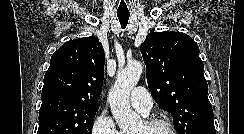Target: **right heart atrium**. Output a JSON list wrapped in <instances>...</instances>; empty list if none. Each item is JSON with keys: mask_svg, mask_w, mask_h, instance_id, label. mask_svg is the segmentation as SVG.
<instances>
[{"mask_svg": "<svg viewBox=\"0 0 244 134\" xmlns=\"http://www.w3.org/2000/svg\"><path fill=\"white\" fill-rule=\"evenodd\" d=\"M91 134H122L117 128L113 117L107 110H103L93 121Z\"/></svg>", "mask_w": 244, "mask_h": 134, "instance_id": "right-heart-atrium-1", "label": "right heart atrium"}]
</instances>
